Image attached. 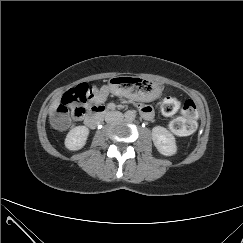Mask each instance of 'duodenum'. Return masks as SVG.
<instances>
[{"label": "duodenum", "mask_w": 243, "mask_h": 243, "mask_svg": "<svg viewBox=\"0 0 243 243\" xmlns=\"http://www.w3.org/2000/svg\"><path fill=\"white\" fill-rule=\"evenodd\" d=\"M109 112L110 110L104 106L93 107L85 118L86 125L90 128H96Z\"/></svg>", "instance_id": "obj_1"}]
</instances>
